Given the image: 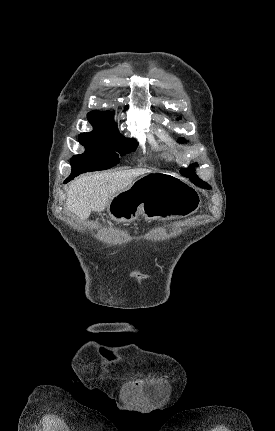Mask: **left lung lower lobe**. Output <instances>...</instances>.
<instances>
[{
  "label": "left lung lower lobe",
  "mask_w": 275,
  "mask_h": 431,
  "mask_svg": "<svg viewBox=\"0 0 275 431\" xmlns=\"http://www.w3.org/2000/svg\"><path fill=\"white\" fill-rule=\"evenodd\" d=\"M189 179L191 180V182H193L194 184H196L201 188L210 189V186L206 182H203L202 180H200L199 178H189Z\"/></svg>",
  "instance_id": "0a47b994"
}]
</instances>
